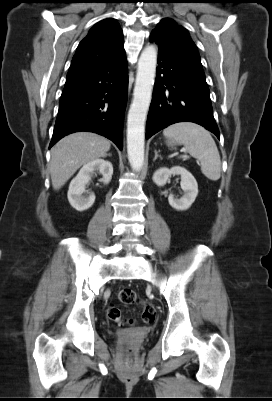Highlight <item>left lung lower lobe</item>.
<instances>
[{"mask_svg":"<svg viewBox=\"0 0 272 401\" xmlns=\"http://www.w3.org/2000/svg\"><path fill=\"white\" fill-rule=\"evenodd\" d=\"M150 41L159 45V65L146 139L171 124L184 121L197 123L220 139L201 61L171 49L153 34Z\"/></svg>","mask_w":272,"mask_h":401,"instance_id":"left-lung-lower-lobe-1","label":"left lung lower lobe"}]
</instances>
